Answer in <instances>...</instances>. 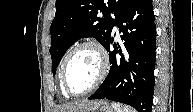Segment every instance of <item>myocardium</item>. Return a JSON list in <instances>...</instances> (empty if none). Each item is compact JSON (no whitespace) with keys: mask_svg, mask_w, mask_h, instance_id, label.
<instances>
[{"mask_svg":"<svg viewBox=\"0 0 193 112\" xmlns=\"http://www.w3.org/2000/svg\"><path fill=\"white\" fill-rule=\"evenodd\" d=\"M82 48H91L95 51L99 59V71H98L95 81L89 88H87L86 90L82 92L75 93L69 88V85L67 82V76H66L67 66L73 54ZM108 68H109L108 54L106 50L104 49V47L99 42L95 40H85V41H82L74 45L65 55L63 59L62 67H61V81H62L64 91L66 92L68 96H72V97H79V96H84V95L89 94L90 92L97 89L101 85V83L104 81L108 73Z\"/></svg>","mask_w":193,"mask_h":112,"instance_id":"obj_1","label":"myocardium"}]
</instances>
